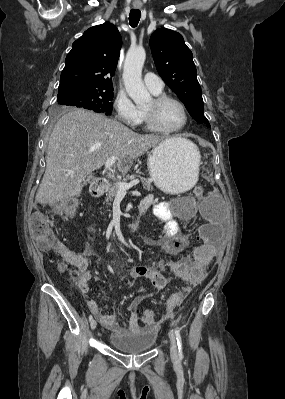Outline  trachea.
Segmentation results:
<instances>
[{
    "label": "trachea",
    "mask_w": 285,
    "mask_h": 399,
    "mask_svg": "<svg viewBox=\"0 0 285 399\" xmlns=\"http://www.w3.org/2000/svg\"><path fill=\"white\" fill-rule=\"evenodd\" d=\"M140 16H141V12L140 10H134L132 9L130 11L129 14V24L131 25V27H136L139 23L140 20Z\"/></svg>",
    "instance_id": "3493384b"
}]
</instances>
